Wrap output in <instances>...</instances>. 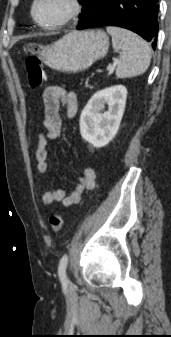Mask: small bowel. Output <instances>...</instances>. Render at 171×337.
I'll list each match as a JSON object with an SVG mask.
<instances>
[{
  "instance_id": "c3829d8e",
  "label": "small bowel",
  "mask_w": 171,
  "mask_h": 337,
  "mask_svg": "<svg viewBox=\"0 0 171 337\" xmlns=\"http://www.w3.org/2000/svg\"><path fill=\"white\" fill-rule=\"evenodd\" d=\"M44 117L41 122L47 134L39 133L37 138L36 160L37 170L40 174H45L48 170L49 140H57L62 134L61 107L65 108L68 118H74L78 111V99L74 92L67 91L62 86L52 85L45 88L43 93ZM96 171L92 167L84 168L82 175L76 179V183L71 191L61 188H51L46 190L40 199L42 206L46 207L54 202H58L62 207H69L77 204L83 192L95 187Z\"/></svg>"
}]
</instances>
